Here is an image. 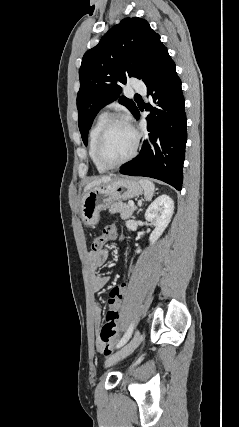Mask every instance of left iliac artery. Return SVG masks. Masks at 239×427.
Listing matches in <instances>:
<instances>
[{
	"instance_id": "1",
	"label": "left iliac artery",
	"mask_w": 239,
	"mask_h": 427,
	"mask_svg": "<svg viewBox=\"0 0 239 427\" xmlns=\"http://www.w3.org/2000/svg\"><path fill=\"white\" fill-rule=\"evenodd\" d=\"M133 328H134V324L132 323L128 330L126 331V333L124 334V336L122 337V339L119 341L117 348L122 347L131 337V334L133 332Z\"/></svg>"
}]
</instances>
